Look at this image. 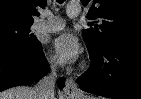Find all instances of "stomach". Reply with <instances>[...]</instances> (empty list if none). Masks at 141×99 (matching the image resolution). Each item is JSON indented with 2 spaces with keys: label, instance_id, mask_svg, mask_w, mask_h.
Segmentation results:
<instances>
[{
  "label": "stomach",
  "instance_id": "obj_1",
  "mask_svg": "<svg viewBox=\"0 0 141 99\" xmlns=\"http://www.w3.org/2000/svg\"><path fill=\"white\" fill-rule=\"evenodd\" d=\"M70 99H88L86 96H82V97H77V96H73Z\"/></svg>",
  "mask_w": 141,
  "mask_h": 99
}]
</instances>
